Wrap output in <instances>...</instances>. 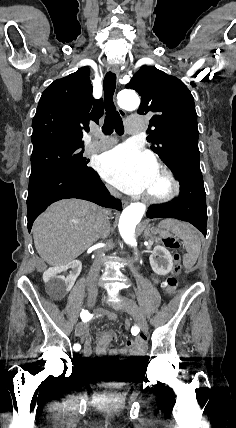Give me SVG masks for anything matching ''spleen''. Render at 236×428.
<instances>
[{
	"mask_svg": "<svg viewBox=\"0 0 236 428\" xmlns=\"http://www.w3.org/2000/svg\"><path fill=\"white\" fill-rule=\"evenodd\" d=\"M160 226L163 230H168V232H172L177 238L183 240L187 252L183 256V264L186 268L194 266L201 248L200 238L196 230L191 228L189 224H182V222H177V220H163Z\"/></svg>",
	"mask_w": 236,
	"mask_h": 428,
	"instance_id": "obj_1",
	"label": "spleen"
}]
</instances>
